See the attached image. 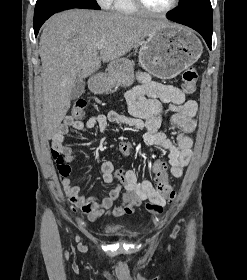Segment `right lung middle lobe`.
<instances>
[{
    "label": "right lung middle lobe",
    "mask_w": 247,
    "mask_h": 280,
    "mask_svg": "<svg viewBox=\"0 0 247 280\" xmlns=\"http://www.w3.org/2000/svg\"><path fill=\"white\" fill-rule=\"evenodd\" d=\"M70 8L100 9L96 0H37L34 24L44 23L54 13Z\"/></svg>",
    "instance_id": "dd1d6c3e"
}]
</instances>
